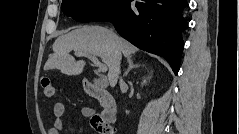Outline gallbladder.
Instances as JSON below:
<instances>
[{
  "label": "gallbladder",
  "instance_id": "1",
  "mask_svg": "<svg viewBox=\"0 0 239 134\" xmlns=\"http://www.w3.org/2000/svg\"><path fill=\"white\" fill-rule=\"evenodd\" d=\"M95 83H96V84H98V85L100 84V82H99V81H97V80L95 81Z\"/></svg>",
  "mask_w": 239,
  "mask_h": 134
}]
</instances>
